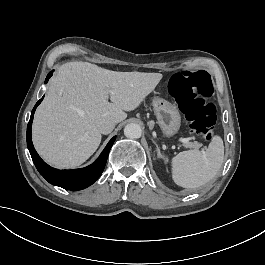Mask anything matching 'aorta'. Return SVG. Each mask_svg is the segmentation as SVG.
Listing matches in <instances>:
<instances>
[{
	"instance_id": "aorta-1",
	"label": "aorta",
	"mask_w": 265,
	"mask_h": 265,
	"mask_svg": "<svg viewBox=\"0 0 265 265\" xmlns=\"http://www.w3.org/2000/svg\"><path fill=\"white\" fill-rule=\"evenodd\" d=\"M142 130L140 125L135 123L127 124L124 128V135L130 139L140 138Z\"/></svg>"
}]
</instances>
